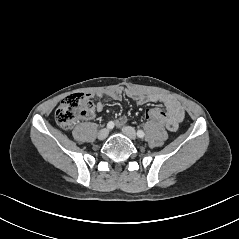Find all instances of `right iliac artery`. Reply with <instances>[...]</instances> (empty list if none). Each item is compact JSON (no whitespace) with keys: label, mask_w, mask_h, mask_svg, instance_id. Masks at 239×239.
<instances>
[{"label":"right iliac artery","mask_w":239,"mask_h":239,"mask_svg":"<svg viewBox=\"0 0 239 239\" xmlns=\"http://www.w3.org/2000/svg\"><path fill=\"white\" fill-rule=\"evenodd\" d=\"M113 127H114V122L113 121L108 122L107 128L112 129Z\"/></svg>","instance_id":"right-iliac-artery-1"}]
</instances>
